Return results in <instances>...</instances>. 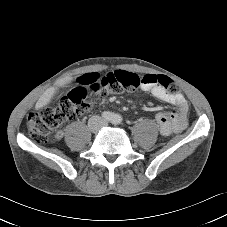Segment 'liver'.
Returning a JSON list of instances; mask_svg holds the SVG:
<instances>
[{
    "label": "liver",
    "instance_id": "obj_1",
    "mask_svg": "<svg viewBox=\"0 0 227 227\" xmlns=\"http://www.w3.org/2000/svg\"><path fill=\"white\" fill-rule=\"evenodd\" d=\"M73 80V77H66V78H62L60 80H57L54 83V86L49 87L47 90H45V92L40 96V98L38 99L35 108L36 110L43 108L44 106L48 105L51 101V99L53 98V96L55 95V93L57 92L59 87H64L67 84H69L71 81Z\"/></svg>",
    "mask_w": 227,
    "mask_h": 227
}]
</instances>
